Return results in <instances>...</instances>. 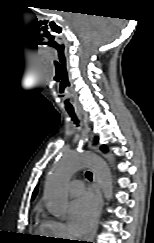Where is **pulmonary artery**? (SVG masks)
Segmentation results:
<instances>
[{
  "mask_svg": "<svg viewBox=\"0 0 154 243\" xmlns=\"http://www.w3.org/2000/svg\"><path fill=\"white\" fill-rule=\"evenodd\" d=\"M68 191L73 196H78L84 191V185L83 182L80 180H74L69 183L68 185Z\"/></svg>",
  "mask_w": 154,
  "mask_h": 243,
  "instance_id": "1",
  "label": "pulmonary artery"
}]
</instances>
